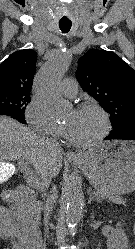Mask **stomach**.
Listing matches in <instances>:
<instances>
[{"mask_svg":"<svg viewBox=\"0 0 135 249\" xmlns=\"http://www.w3.org/2000/svg\"><path fill=\"white\" fill-rule=\"evenodd\" d=\"M100 192L111 195L135 191V142L112 140L93 146L74 162Z\"/></svg>","mask_w":135,"mask_h":249,"instance_id":"stomach-1","label":"stomach"}]
</instances>
